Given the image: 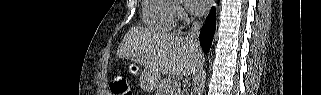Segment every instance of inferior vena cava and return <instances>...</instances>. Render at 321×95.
Wrapping results in <instances>:
<instances>
[{"label":"inferior vena cava","instance_id":"inferior-vena-cava-1","mask_svg":"<svg viewBox=\"0 0 321 95\" xmlns=\"http://www.w3.org/2000/svg\"><path fill=\"white\" fill-rule=\"evenodd\" d=\"M199 33H200V23L198 21H195L193 23V26L190 30L188 39L195 45H199Z\"/></svg>","mask_w":321,"mask_h":95}]
</instances>
